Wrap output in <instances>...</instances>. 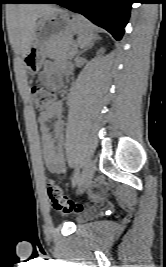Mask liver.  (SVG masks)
Returning a JSON list of instances; mask_svg holds the SVG:
<instances>
[{
  "label": "liver",
  "instance_id": "obj_1",
  "mask_svg": "<svg viewBox=\"0 0 166 267\" xmlns=\"http://www.w3.org/2000/svg\"><path fill=\"white\" fill-rule=\"evenodd\" d=\"M58 9L46 4H23L15 11L12 23L11 43L17 51L24 55L34 37L37 20Z\"/></svg>",
  "mask_w": 166,
  "mask_h": 267
}]
</instances>
